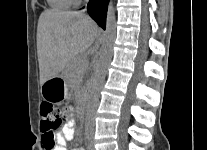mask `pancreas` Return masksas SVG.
<instances>
[{
    "label": "pancreas",
    "instance_id": "obj_1",
    "mask_svg": "<svg viewBox=\"0 0 207 150\" xmlns=\"http://www.w3.org/2000/svg\"><path fill=\"white\" fill-rule=\"evenodd\" d=\"M87 65V60L85 57H80L75 59L67 68L66 75L69 81L75 86L80 84V79L83 76Z\"/></svg>",
    "mask_w": 207,
    "mask_h": 150
}]
</instances>
